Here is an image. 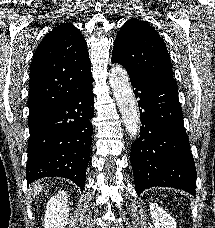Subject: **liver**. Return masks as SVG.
<instances>
[{
  "label": "liver",
  "instance_id": "6515ba94",
  "mask_svg": "<svg viewBox=\"0 0 215 228\" xmlns=\"http://www.w3.org/2000/svg\"><path fill=\"white\" fill-rule=\"evenodd\" d=\"M42 188H44V186L43 184H40V182H35V184H31L30 192L32 196H37V194H40Z\"/></svg>",
  "mask_w": 215,
  "mask_h": 228
}]
</instances>
